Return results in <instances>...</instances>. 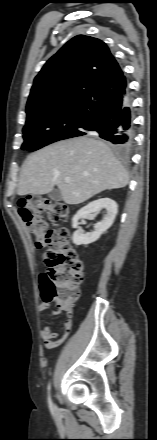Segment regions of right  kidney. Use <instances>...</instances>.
I'll use <instances>...</instances> for the list:
<instances>
[{
    "label": "right kidney",
    "mask_w": 157,
    "mask_h": 440,
    "mask_svg": "<svg viewBox=\"0 0 157 440\" xmlns=\"http://www.w3.org/2000/svg\"><path fill=\"white\" fill-rule=\"evenodd\" d=\"M102 209L106 210V215L102 221L95 224L94 231L86 234L82 233L79 229V220L89 217L91 213H98ZM117 212V204L110 198H100L81 208L72 219V227L77 229L72 236L73 243L75 245H88L97 241L111 227Z\"/></svg>",
    "instance_id": "1"
}]
</instances>
